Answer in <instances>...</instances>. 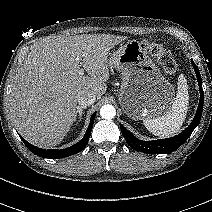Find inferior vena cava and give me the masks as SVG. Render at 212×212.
I'll return each instance as SVG.
<instances>
[{
  "label": "inferior vena cava",
  "mask_w": 212,
  "mask_h": 212,
  "mask_svg": "<svg viewBox=\"0 0 212 212\" xmlns=\"http://www.w3.org/2000/svg\"><path fill=\"white\" fill-rule=\"evenodd\" d=\"M96 100V96L92 93L81 92L77 96V101L81 106H89Z\"/></svg>",
  "instance_id": "inferior-vena-cava-1"
}]
</instances>
